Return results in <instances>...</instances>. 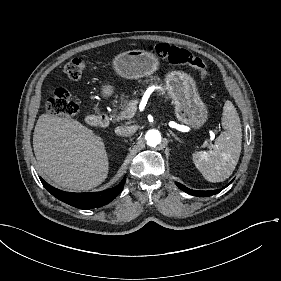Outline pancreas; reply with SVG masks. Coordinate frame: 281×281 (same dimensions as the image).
<instances>
[{"label": "pancreas", "mask_w": 281, "mask_h": 281, "mask_svg": "<svg viewBox=\"0 0 281 281\" xmlns=\"http://www.w3.org/2000/svg\"><path fill=\"white\" fill-rule=\"evenodd\" d=\"M156 80H157L156 82H158V83L161 82V80L159 78H156ZM161 83H163V82H161ZM127 106H128V102L124 101L123 104H120L119 107H118V109L120 111V115L119 116L115 115V116H111V117L113 119H115L116 121L122 120V117L124 115V111L127 109Z\"/></svg>", "instance_id": "pancreas-1"}]
</instances>
